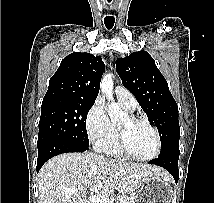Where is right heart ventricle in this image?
<instances>
[{"instance_id": "obj_1", "label": "right heart ventricle", "mask_w": 214, "mask_h": 203, "mask_svg": "<svg viewBox=\"0 0 214 203\" xmlns=\"http://www.w3.org/2000/svg\"><path fill=\"white\" fill-rule=\"evenodd\" d=\"M120 104L126 110H129L121 102H120ZM129 111H131V110H129ZM113 125H114V129H113L112 135L109 137V139H107L105 142L100 144L97 148L101 153H103L107 156L121 157V156H123V154L121 153L119 146H118V125L117 124H113Z\"/></svg>"}]
</instances>
